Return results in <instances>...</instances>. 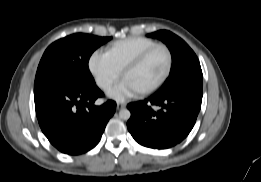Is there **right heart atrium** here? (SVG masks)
<instances>
[{"label": "right heart atrium", "instance_id": "obj_1", "mask_svg": "<svg viewBox=\"0 0 261 182\" xmlns=\"http://www.w3.org/2000/svg\"><path fill=\"white\" fill-rule=\"evenodd\" d=\"M88 69L96 85L109 90L121 77V72L113 65L109 57L102 52H93L88 61Z\"/></svg>", "mask_w": 261, "mask_h": 182}]
</instances>
